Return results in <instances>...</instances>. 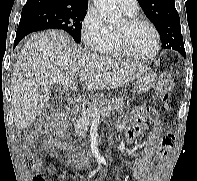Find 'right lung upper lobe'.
Here are the masks:
<instances>
[{
    "instance_id": "cb5924a9",
    "label": "right lung upper lobe",
    "mask_w": 197,
    "mask_h": 181,
    "mask_svg": "<svg viewBox=\"0 0 197 181\" xmlns=\"http://www.w3.org/2000/svg\"><path fill=\"white\" fill-rule=\"evenodd\" d=\"M34 7L67 8L73 10L88 9V0H27L23 9Z\"/></svg>"
}]
</instances>
